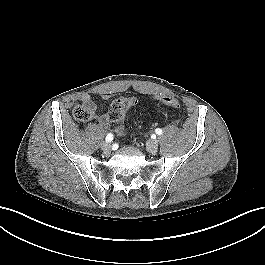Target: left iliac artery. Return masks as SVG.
Returning a JSON list of instances; mask_svg holds the SVG:
<instances>
[{
    "label": "left iliac artery",
    "mask_w": 265,
    "mask_h": 265,
    "mask_svg": "<svg viewBox=\"0 0 265 265\" xmlns=\"http://www.w3.org/2000/svg\"><path fill=\"white\" fill-rule=\"evenodd\" d=\"M155 132H156V134H158V135H161V134H162V130L159 129V128H157V129L155 130Z\"/></svg>",
    "instance_id": "44dca946"
}]
</instances>
